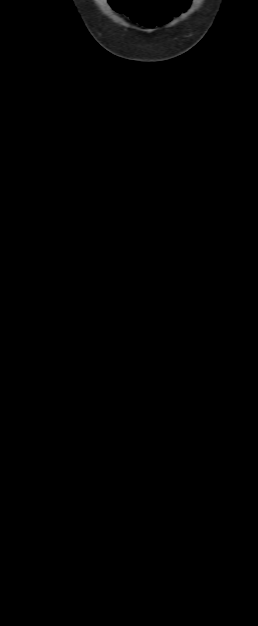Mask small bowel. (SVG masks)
Instances as JSON below:
<instances>
[{"mask_svg": "<svg viewBox=\"0 0 258 626\" xmlns=\"http://www.w3.org/2000/svg\"><path fill=\"white\" fill-rule=\"evenodd\" d=\"M188 2H181L179 3L172 11L171 14L172 15H176L181 9H184L187 6ZM166 20L164 19L162 22H165Z\"/></svg>", "mask_w": 258, "mask_h": 626, "instance_id": "1", "label": "small bowel"}]
</instances>
